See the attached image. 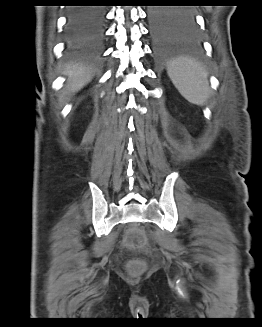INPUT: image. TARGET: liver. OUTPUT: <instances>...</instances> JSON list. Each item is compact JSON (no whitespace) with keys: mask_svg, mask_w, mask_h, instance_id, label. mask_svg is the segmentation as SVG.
I'll use <instances>...</instances> for the list:
<instances>
[{"mask_svg":"<svg viewBox=\"0 0 262 327\" xmlns=\"http://www.w3.org/2000/svg\"><path fill=\"white\" fill-rule=\"evenodd\" d=\"M64 74L68 77L67 88L69 93L78 92L92 79L91 70L80 64L67 65Z\"/></svg>","mask_w":262,"mask_h":327,"instance_id":"obj_1","label":"liver"}]
</instances>
